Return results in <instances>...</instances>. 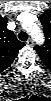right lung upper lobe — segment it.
I'll use <instances>...</instances> for the list:
<instances>
[{
	"label": "right lung upper lobe",
	"mask_w": 51,
	"mask_h": 101,
	"mask_svg": "<svg viewBox=\"0 0 51 101\" xmlns=\"http://www.w3.org/2000/svg\"><path fill=\"white\" fill-rule=\"evenodd\" d=\"M7 18L0 16V72L11 65L18 51L25 45L7 29Z\"/></svg>",
	"instance_id": "right-lung-upper-lobe-1"
}]
</instances>
